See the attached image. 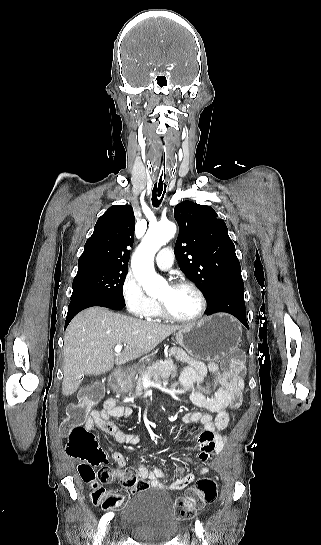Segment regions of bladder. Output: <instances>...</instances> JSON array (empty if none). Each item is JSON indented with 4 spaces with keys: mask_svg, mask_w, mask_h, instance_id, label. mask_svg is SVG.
I'll list each match as a JSON object with an SVG mask.
<instances>
[{
    "mask_svg": "<svg viewBox=\"0 0 321 545\" xmlns=\"http://www.w3.org/2000/svg\"><path fill=\"white\" fill-rule=\"evenodd\" d=\"M121 526L141 545H164L173 540L179 521L169 493L159 488L135 493L122 510Z\"/></svg>",
    "mask_w": 321,
    "mask_h": 545,
    "instance_id": "1",
    "label": "bladder"
}]
</instances>
